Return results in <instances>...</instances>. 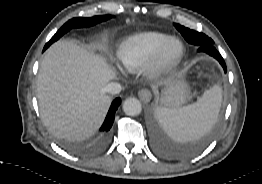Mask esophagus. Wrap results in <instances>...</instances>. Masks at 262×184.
<instances>
[{
  "label": "esophagus",
  "mask_w": 262,
  "mask_h": 184,
  "mask_svg": "<svg viewBox=\"0 0 262 184\" xmlns=\"http://www.w3.org/2000/svg\"><path fill=\"white\" fill-rule=\"evenodd\" d=\"M139 98L143 103H148L151 100L152 94L148 89H142L138 93Z\"/></svg>",
  "instance_id": "obj_1"
}]
</instances>
